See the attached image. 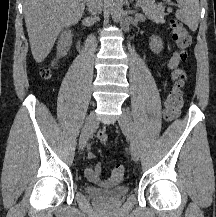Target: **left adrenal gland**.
I'll list each match as a JSON object with an SVG mask.
<instances>
[{
	"label": "left adrenal gland",
	"instance_id": "left-adrenal-gland-1",
	"mask_svg": "<svg viewBox=\"0 0 216 217\" xmlns=\"http://www.w3.org/2000/svg\"><path fill=\"white\" fill-rule=\"evenodd\" d=\"M130 1H133V0H130ZM134 7H135V9H137L138 8V4H136Z\"/></svg>",
	"mask_w": 216,
	"mask_h": 217
}]
</instances>
